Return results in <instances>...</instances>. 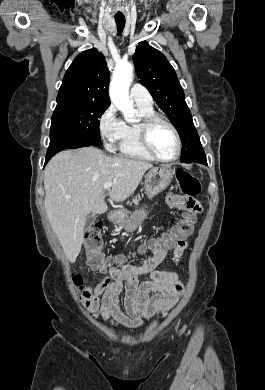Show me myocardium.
<instances>
[{
    "label": "myocardium",
    "mask_w": 265,
    "mask_h": 390,
    "mask_svg": "<svg viewBox=\"0 0 265 390\" xmlns=\"http://www.w3.org/2000/svg\"><path fill=\"white\" fill-rule=\"evenodd\" d=\"M156 123H163V124L167 125L171 129V131L173 132V134L175 136L177 148H176V152L172 158H169V159L162 158L161 156H159L156 153V151L153 149V147L151 145L150 132H151L152 127ZM137 130H138L139 139H140V142H141L143 149L154 160L159 161V162H163V163H171V162L176 161L179 158L181 151H182V141H181V137H180V134H179L177 128L175 127V125L171 121H169L168 119H166L165 117H163L157 113L147 114V115L141 116L140 121L137 124Z\"/></svg>",
    "instance_id": "obj_1"
}]
</instances>
